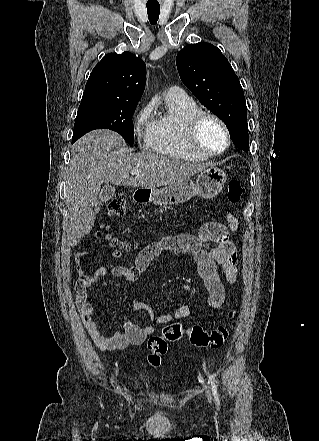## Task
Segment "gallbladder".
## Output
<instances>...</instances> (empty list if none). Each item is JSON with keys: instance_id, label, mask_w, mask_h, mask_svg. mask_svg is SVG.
<instances>
[{"instance_id": "bac80fb5", "label": "gallbladder", "mask_w": 319, "mask_h": 441, "mask_svg": "<svg viewBox=\"0 0 319 441\" xmlns=\"http://www.w3.org/2000/svg\"><path fill=\"white\" fill-rule=\"evenodd\" d=\"M115 193V187L113 185H106L101 189L99 202L103 203L109 201Z\"/></svg>"}]
</instances>
